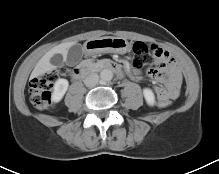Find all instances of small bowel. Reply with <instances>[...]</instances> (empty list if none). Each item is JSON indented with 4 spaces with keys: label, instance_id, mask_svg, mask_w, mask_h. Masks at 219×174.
<instances>
[{
    "label": "small bowel",
    "instance_id": "1",
    "mask_svg": "<svg viewBox=\"0 0 219 174\" xmlns=\"http://www.w3.org/2000/svg\"><path fill=\"white\" fill-rule=\"evenodd\" d=\"M156 54L155 64L156 68L150 71V76L156 80L164 82L168 89L164 86H157L155 88V97L160 100L175 99L179 94L181 85V72L176 65L172 55L161 47L152 46ZM130 74L137 78L139 76L138 71L130 70ZM166 75L164 77L163 75Z\"/></svg>",
    "mask_w": 219,
    "mask_h": 174
}]
</instances>
